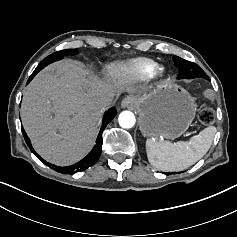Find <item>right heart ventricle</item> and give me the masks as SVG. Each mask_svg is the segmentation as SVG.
<instances>
[{
	"label": "right heart ventricle",
	"instance_id": "1",
	"mask_svg": "<svg viewBox=\"0 0 237 237\" xmlns=\"http://www.w3.org/2000/svg\"><path fill=\"white\" fill-rule=\"evenodd\" d=\"M153 66V62L148 59H138L130 62L125 67L137 74L146 73Z\"/></svg>",
	"mask_w": 237,
	"mask_h": 237
}]
</instances>
